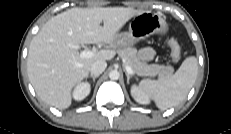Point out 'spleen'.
Here are the masks:
<instances>
[{"label": "spleen", "mask_w": 231, "mask_h": 134, "mask_svg": "<svg viewBox=\"0 0 231 134\" xmlns=\"http://www.w3.org/2000/svg\"><path fill=\"white\" fill-rule=\"evenodd\" d=\"M197 74V58L190 56L183 61L173 76L142 80L140 88L154 100L159 109L166 110L185 100L197 79Z\"/></svg>", "instance_id": "1"}]
</instances>
